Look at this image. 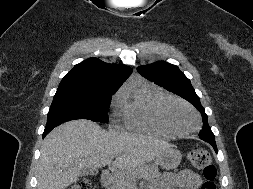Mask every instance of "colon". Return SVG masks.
Here are the masks:
<instances>
[{
    "mask_svg": "<svg viewBox=\"0 0 253 189\" xmlns=\"http://www.w3.org/2000/svg\"><path fill=\"white\" fill-rule=\"evenodd\" d=\"M189 161L191 165L202 171L205 178L201 189H216L217 170L211 161L209 153L203 149H194L189 153ZM67 189H92V183L89 178H81L70 185Z\"/></svg>",
    "mask_w": 253,
    "mask_h": 189,
    "instance_id": "1",
    "label": "colon"
}]
</instances>
